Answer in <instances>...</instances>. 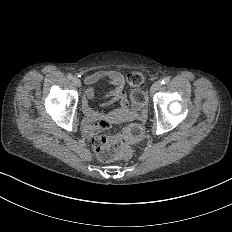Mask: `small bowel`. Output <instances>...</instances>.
<instances>
[{
	"mask_svg": "<svg viewBox=\"0 0 232 232\" xmlns=\"http://www.w3.org/2000/svg\"><path fill=\"white\" fill-rule=\"evenodd\" d=\"M103 79H106L110 85L115 87V91L108 93L107 96L114 95L118 101V106L115 109L100 114L94 110L91 104L92 100L95 98V90L92 87L87 88L80 95L79 103L86 116V125L83 132L88 138L108 130L111 122L115 118L127 119L131 113L125 81L118 70L100 69L91 76H84L82 82L85 85L92 86Z\"/></svg>",
	"mask_w": 232,
	"mask_h": 232,
	"instance_id": "obj_1",
	"label": "small bowel"
}]
</instances>
